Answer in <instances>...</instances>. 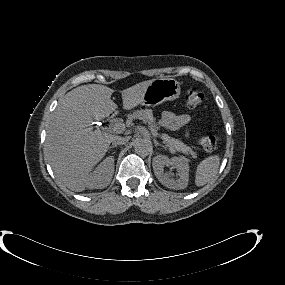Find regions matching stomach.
Listing matches in <instances>:
<instances>
[{"instance_id": "1", "label": "stomach", "mask_w": 285, "mask_h": 285, "mask_svg": "<svg viewBox=\"0 0 285 285\" xmlns=\"http://www.w3.org/2000/svg\"><path fill=\"white\" fill-rule=\"evenodd\" d=\"M181 87L173 78L153 79L142 94V105L154 107L180 96Z\"/></svg>"}]
</instances>
